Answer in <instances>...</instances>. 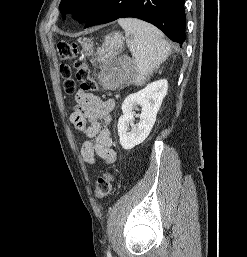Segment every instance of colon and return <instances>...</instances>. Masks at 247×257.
<instances>
[{
    "label": "colon",
    "instance_id": "1",
    "mask_svg": "<svg viewBox=\"0 0 247 257\" xmlns=\"http://www.w3.org/2000/svg\"><path fill=\"white\" fill-rule=\"evenodd\" d=\"M57 55L60 61V72L64 78V90L68 94L74 93L76 90V81L72 77V67L69 64L74 61L73 67L76 70V80L80 83L83 91H96L97 83L91 77L90 70L81 56L79 48L75 43H59L57 46ZM114 176L110 172L102 174L96 183L95 195L97 198L103 199L107 197L113 186Z\"/></svg>",
    "mask_w": 247,
    "mask_h": 257
}]
</instances>
